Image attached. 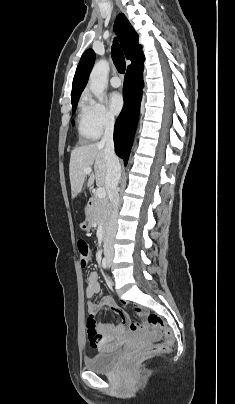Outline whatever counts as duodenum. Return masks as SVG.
I'll return each instance as SVG.
<instances>
[{
    "label": "duodenum",
    "instance_id": "1",
    "mask_svg": "<svg viewBox=\"0 0 235 404\" xmlns=\"http://www.w3.org/2000/svg\"><path fill=\"white\" fill-rule=\"evenodd\" d=\"M93 206H94L93 201H90L89 204H88V206H87V210H86V212H87L88 215H91V214H92V212H93ZM103 241L106 242V236H104Z\"/></svg>",
    "mask_w": 235,
    "mask_h": 404
}]
</instances>
